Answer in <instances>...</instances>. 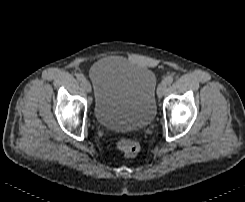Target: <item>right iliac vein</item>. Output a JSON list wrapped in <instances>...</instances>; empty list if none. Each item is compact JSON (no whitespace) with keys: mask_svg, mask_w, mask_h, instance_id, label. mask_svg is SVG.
<instances>
[{"mask_svg":"<svg viewBox=\"0 0 245 202\" xmlns=\"http://www.w3.org/2000/svg\"><path fill=\"white\" fill-rule=\"evenodd\" d=\"M82 85H83V87L85 88V90L87 92H91V90H92L91 84H90V82L87 79H83L82 80Z\"/></svg>","mask_w":245,"mask_h":202,"instance_id":"1","label":"right iliac vein"}]
</instances>
